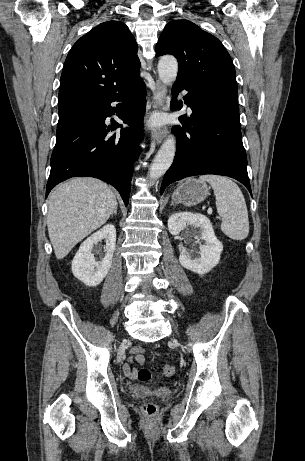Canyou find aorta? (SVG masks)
<instances>
[{
	"mask_svg": "<svg viewBox=\"0 0 305 461\" xmlns=\"http://www.w3.org/2000/svg\"><path fill=\"white\" fill-rule=\"evenodd\" d=\"M178 62L173 56H163L158 63V75L160 80L166 84H172L177 77ZM176 151V141L174 136H169L160 147L153 163L149 169V178L158 179L171 166Z\"/></svg>",
	"mask_w": 305,
	"mask_h": 461,
	"instance_id": "aorta-1",
	"label": "aorta"
}]
</instances>
